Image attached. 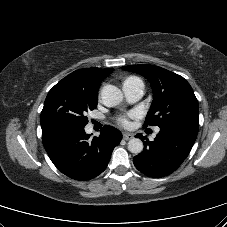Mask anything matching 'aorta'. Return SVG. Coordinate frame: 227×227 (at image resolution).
Instances as JSON below:
<instances>
[{
	"mask_svg": "<svg viewBox=\"0 0 227 227\" xmlns=\"http://www.w3.org/2000/svg\"><path fill=\"white\" fill-rule=\"evenodd\" d=\"M101 98L105 106L113 107L123 100V93L114 85H106L101 91ZM128 150L139 154L143 151V142L139 138H132L128 142Z\"/></svg>",
	"mask_w": 227,
	"mask_h": 227,
	"instance_id": "1",
	"label": "aorta"
}]
</instances>
